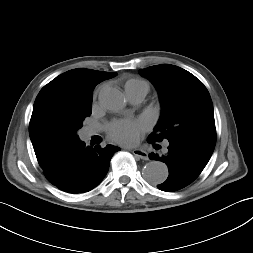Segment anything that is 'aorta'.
<instances>
[{
	"mask_svg": "<svg viewBox=\"0 0 253 253\" xmlns=\"http://www.w3.org/2000/svg\"><path fill=\"white\" fill-rule=\"evenodd\" d=\"M100 105L112 112H119L124 109L126 99L124 94L117 88L107 87L100 91ZM143 178L152 185H158L168 177V168L165 163L160 161H150L142 169Z\"/></svg>",
	"mask_w": 253,
	"mask_h": 253,
	"instance_id": "1",
	"label": "aorta"
}]
</instances>
